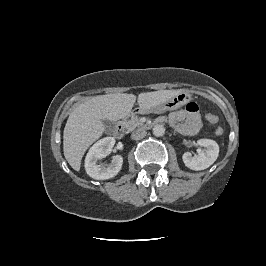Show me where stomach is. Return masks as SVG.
Instances as JSON below:
<instances>
[{
    "label": "stomach",
    "mask_w": 266,
    "mask_h": 266,
    "mask_svg": "<svg viewBox=\"0 0 266 266\" xmlns=\"http://www.w3.org/2000/svg\"><path fill=\"white\" fill-rule=\"evenodd\" d=\"M190 98V94L187 92H180L176 96L167 100L164 103L159 104L158 106L152 108L153 111L157 113H164L168 110H172L175 107L185 104Z\"/></svg>",
    "instance_id": "1"
}]
</instances>
